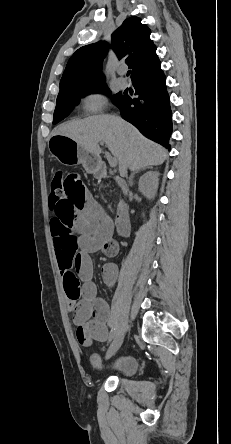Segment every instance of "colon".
I'll return each mask as SVG.
<instances>
[{
    "label": "colon",
    "instance_id": "5ec220e1",
    "mask_svg": "<svg viewBox=\"0 0 231 444\" xmlns=\"http://www.w3.org/2000/svg\"><path fill=\"white\" fill-rule=\"evenodd\" d=\"M65 176L62 170H56L52 176L51 182V197L59 200L66 194Z\"/></svg>",
    "mask_w": 231,
    "mask_h": 444
}]
</instances>
